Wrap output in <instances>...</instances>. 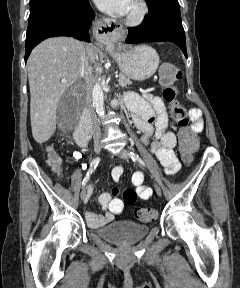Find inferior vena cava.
Segmentation results:
<instances>
[{"label": "inferior vena cava", "instance_id": "inferior-vena-cava-1", "mask_svg": "<svg viewBox=\"0 0 240 288\" xmlns=\"http://www.w3.org/2000/svg\"><path fill=\"white\" fill-rule=\"evenodd\" d=\"M92 45H87L86 50L82 55L81 64H80V72L79 77L83 79L85 85L87 87V95H86V106L88 108V113L82 118L81 123L89 125L91 129V134L93 135L94 140H99L101 137V130L99 125L95 122L93 123V119L95 118L94 108L91 103V98L89 95V87H90V80H91V66H90V56L88 54L89 49Z\"/></svg>", "mask_w": 240, "mask_h": 288}]
</instances>
